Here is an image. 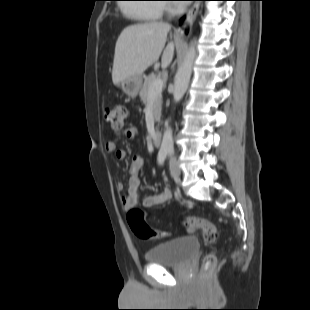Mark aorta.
Instances as JSON below:
<instances>
[{
	"label": "aorta",
	"mask_w": 310,
	"mask_h": 310,
	"mask_svg": "<svg viewBox=\"0 0 310 310\" xmlns=\"http://www.w3.org/2000/svg\"><path fill=\"white\" fill-rule=\"evenodd\" d=\"M195 58H196V48L195 43L192 42L186 52L183 63L178 68V71L175 76L173 99L174 102L176 103L182 99L188 88ZM172 148H173V133L172 129L170 127H167L163 134L161 149L169 150Z\"/></svg>",
	"instance_id": "762f6f07"
}]
</instances>
